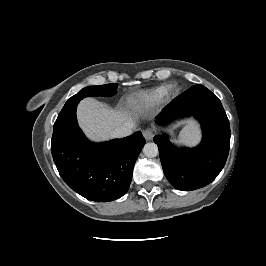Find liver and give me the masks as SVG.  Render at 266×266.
<instances>
[{
    "instance_id": "liver-1",
    "label": "liver",
    "mask_w": 266,
    "mask_h": 266,
    "mask_svg": "<svg viewBox=\"0 0 266 266\" xmlns=\"http://www.w3.org/2000/svg\"><path fill=\"white\" fill-rule=\"evenodd\" d=\"M77 117L83 131L93 140L113 137V131L124 123L134 124L129 113L108 109L93 98H86L80 102Z\"/></svg>"
}]
</instances>
